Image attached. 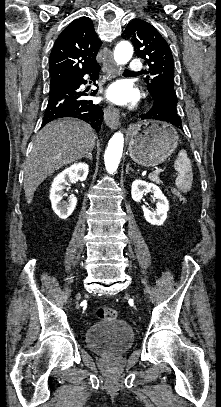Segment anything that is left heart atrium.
<instances>
[{"label":"left heart atrium","instance_id":"39dd6f15","mask_svg":"<svg viewBox=\"0 0 221 407\" xmlns=\"http://www.w3.org/2000/svg\"><path fill=\"white\" fill-rule=\"evenodd\" d=\"M106 97L116 104L125 105L135 102L138 92L126 80H118L108 88Z\"/></svg>","mask_w":221,"mask_h":407}]
</instances>
